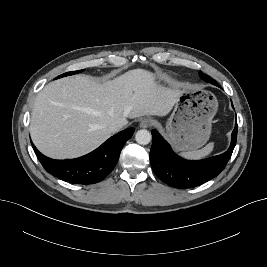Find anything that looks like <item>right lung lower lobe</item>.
<instances>
[{"label": "right lung lower lobe", "instance_id": "obj_1", "mask_svg": "<svg viewBox=\"0 0 267 267\" xmlns=\"http://www.w3.org/2000/svg\"><path fill=\"white\" fill-rule=\"evenodd\" d=\"M134 128L123 130L105 141L91 153L71 160H55L41 154L32 143L34 152L53 176L75 184H93L102 181L115 167L120 152Z\"/></svg>", "mask_w": 267, "mask_h": 267}]
</instances>
